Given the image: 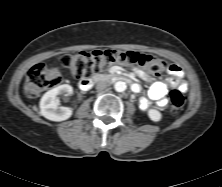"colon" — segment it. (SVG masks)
I'll use <instances>...</instances> for the list:
<instances>
[{
  "label": "colon",
  "instance_id": "colon-1",
  "mask_svg": "<svg viewBox=\"0 0 222 187\" xmlns=\"http://www.w3.org/2000/svg\"><path fill=\"white\" fill-rule=\"evenodd\" d=\"M61 63L68 68L75 79L89 80L91 76L107 70L111 65L122 64L142 68L150 75H158L168 69L166 60L152 54L136 51L94 50L79 54H66ZM62 81L59 70L43 64L34 65L28 72L24 91L30 98L39 96L43 91L56 87ZM185 105V96L179 89L169 95V111L173 115L181 113Z\"/></svg>",
  "mask_w": 222,
  "mask_h": 187
}]
</instances>
